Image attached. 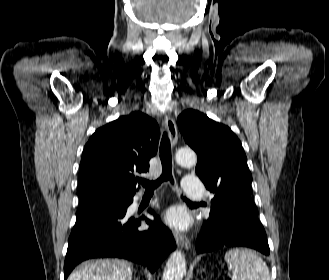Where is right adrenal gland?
Here are the masks:
<instances>
[{"mask_svg": "<svg viewBox=\"0 0 329 280\" xmlns=\"http://www.w3.org/2000/svg\"><path fill=\"white\" fill-rule=\"evenodd\" d=\"M134 280H139L137 277H134Z\"/></svg>", "mask_w": 329, "mask_h": 280, "instance_id": "2a0ac1e0", "label": "right adrenal gland"}]
</instances>
